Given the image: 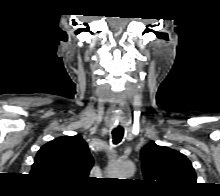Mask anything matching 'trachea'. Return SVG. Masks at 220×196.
<instances>
[{"label":"trachea","mask_w":220,"mask_h":196,"mask_svg":"<svg viewBox=\"0 0 220 196\" xmlns=\"http://www.w3.org/2000/svg\"><path fill=\"white\" fill-rule=\"evenodd\" d=\"M124 135V129L122 127H118L112 131L113 143L118 144L122 141Z\"/></svg>","instance_id":"obj_1"}]
</instances>
